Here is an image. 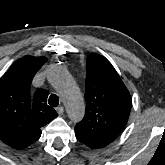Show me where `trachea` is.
Wrapping results in <instances>:
<instances>
[{
	"mask_svg": "<svg viewBox=\"0 0 165 165\" xmlns=\"http://www.w3.org/2000/svg\"><path fill=\"white\" fill-rule=\"evenodd\" d=\"M49 105L57 107L59 105V98L55 94H51L48 100Z\"/></svg>",
	"mask_w": 165,
	"mask_h": 165,
	"instance_id": "1",
	"label": "trachea"
}]
</instances>
